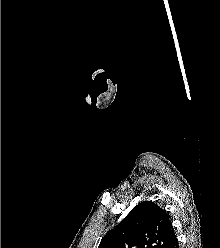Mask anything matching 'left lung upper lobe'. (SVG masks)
Masks as SVG:
<instances>
[{
    "label": "left lung upper lobe",
    "mask_w": 220,
    "mask_h": 248,
    "mask_svg": "<svg viewBox=\"0 0 220 248\" xmlns=\"http://www.w3.org/2000/svg\"><path fill=\"white\" fill-rule=\"evenodd\" d=\"M174 234L168 213L144 201L106 233L98 248H165Z\"/></svg>",
    "instance_id": "1"
}]
</instances>
